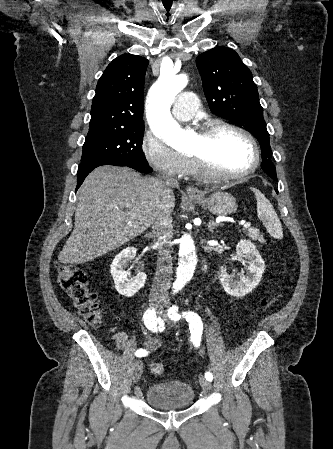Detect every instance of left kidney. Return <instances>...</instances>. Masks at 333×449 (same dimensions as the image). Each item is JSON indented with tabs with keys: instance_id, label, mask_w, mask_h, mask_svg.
<instances>
[{
	"instance_id": "left-kidney-1",
	"label": "left kidney",
	"mask_w": 333,
	"mask_h": 449,
	"mask_svg": "<svg viewBox=\"0 0 333 449\" xmlns=\"http://www.w3.org/2000/svg\"><path fill=\"white\" fill-rule=\"evenodd\" d=\"M236 254L239 261L247 260L248 273H241L239 279L235 280L234 274L228 273L226 268H221L219 279L227 294L243 297L259 284L265 263L256 246L249 240H241L237 244Z\"/></svg>"
}]
</instances>
